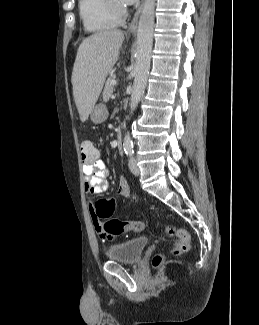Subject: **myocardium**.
I'll use <instances>...</instances> for the list:
<instances>
[{"instance_id":"f54148a6","label":"myocardium","mask_w":259,"mask_h":325,"mask_svg":"<svg viewBox=\"0 0 259 325\" xmlns=\"http://www.w3.org/2000/svg\"><path fill=\"white\" fill-rule=\"evenodd\" d=\"M112 11L118 16L122 17L126 14V8L120 0H109Z\"/></svg>"}]
</instances>
